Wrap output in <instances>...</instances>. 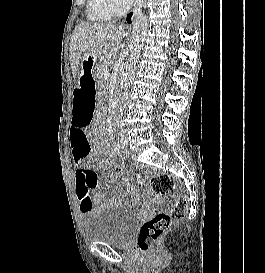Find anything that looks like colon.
<instances>
[{"mask_svg": "<svg viewBox=\"0 0 265 273\" xmlns=\"http://www.w3.org/2000/svg\"><path fill=\"white\" fill-rule=\"evenodd\" d=\"M117 173L123 169L116 168ZM152 190L159 195L171 192L175 187V181L171 175L161 172L151 176ZM188 207L186 196H178L174 199L168 210L158 212L153 218L143 223L140 228L137 243L140 249H150L171 227L173 221L180 220L185 216Z\"/></svg>", "mask_w": 265, "mask_h": 273, "instance_id": "5ec220e1", "label": "colon"}]
</instances>
